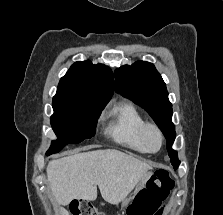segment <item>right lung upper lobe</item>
Listing matches in <instances>:
<instances>
[{"label": "right lung upper lobe", "instance_id": "cb5924a9", "mask_svg": "<svg viewBox=\"0 0 223 215\" xmlns=\"http://www.w3.org/2000/svg\"><path fill=\"white\" fill-rule=\"evenodd\" d=\"M112 71L103 64L75 62L60 79L54 106H95L104 108L113 95Z\"/></svg>", "mask_w": 223, "mask_h": 215}]
</instances>
